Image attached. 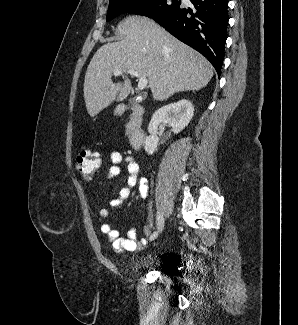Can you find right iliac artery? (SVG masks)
<instances>
[{
  "label": "right iliac artery",
  "instance_id": "right-iliac-artery-1",
  "mask_svg": "<svg viewBox=\"0 0 298 325\" xmlns=\"http://www.w3.org/2000/svg\"><path fill=\"white\" fill-rule=\"evenodd\" d=\"M158 233L154 232L151 236H150V240H153L157 237Z\"/></svg>",
  "mask_w": 298,
  "mask_h": 325
}]
</instances>
